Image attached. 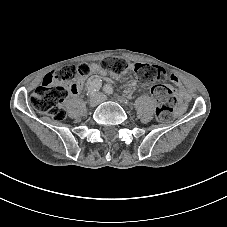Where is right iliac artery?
Listing matches in <instances>:
<instances>
[{
    "instance_id": "obj_1",
    "label": "right iliac artery",
    "mask_w": 227,
    "mask_h": 227,
    "mask_svg": "<svg viewBox=\"0 0 227 227\" xmlns=\"http://www.w3.org/2000/svg\"><path fill=\"white\" fill-rule=\"evenodd\" d=\"M101 80H94L87 90V96H93L101 88Z\"/></svg>"
}]
</instances>
